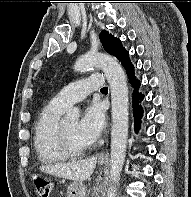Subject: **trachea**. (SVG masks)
I'll use <instances>...</instances> for the list:
<instances>
[{"mask_svg": "<svg viewBox=\"0 0 191 197\" xmlns=\"http://www.w3.org/2000/svg\"><path fill=\"white\" fill-rule=\"evenodd\" d=\"M108 88L107 87H103L101 90H107Z\"/></svg>", "mask_w": 191, "mask_h": 197, "instance_id": "trachea-1", "label": "trachea"}]
</instances>
